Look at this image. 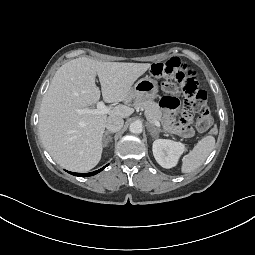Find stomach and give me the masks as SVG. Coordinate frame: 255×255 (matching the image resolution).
Listing matches in <instances>:
<instances>
[{
    "label": "stomach",
    "instance_id": "stomach-1",
    "mask_svg": "<svg viewBox=\"0 0 255 255\" xmlns=\"http://www.w3.org/2000/svg\"><path fill=\"white\" fill-rule=\"evenodd\" d=\"M158 84L150 77L137 81L132 88V95L136 101L152 100L157 97Z\"/></svg>",
    "mask_w": 255,
    "mask_h": 255
}]
</instances>
